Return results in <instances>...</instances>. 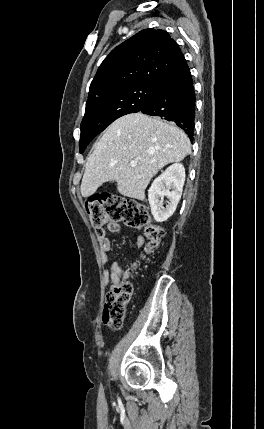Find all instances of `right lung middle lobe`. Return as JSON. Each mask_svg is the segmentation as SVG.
<instances>
[{
  "label": "right lung middle lobe",
  "mask_w": 264,
  "mask_h": 429,
  "mask_svg": "<svg viewBox=\"0 0 264 429\" xmlns=\"http://www.w3.org/2000/svg\"><path fill=\"white\" fill-rule=\"evenodd\" d=\"M156 86L136 84L88 101L81 122L80 153L114 120L129 113L139 112L154 93Z\"/></svg>",
  "instance_id": "dd1d6c3e"
}]
</instances>
